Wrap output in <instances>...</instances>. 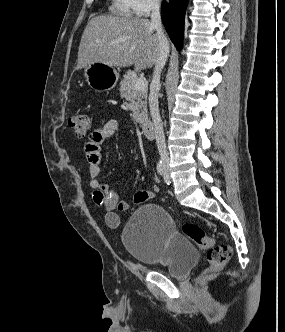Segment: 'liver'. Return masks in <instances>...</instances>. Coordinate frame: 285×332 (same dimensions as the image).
<instances>
[{
	"label": "liver",
	"mask_w": 285,
	"mask_h": 332,
	"mask_svg": "<svg viewBox=\"0 0 285 332\" xmlns=\"http://www.w3.org/2000/svg\"><path fill=\"white\" fill-rule=\"evenodd\" d=\"M154 30L146 18L93 17L81 37L76 69L96 62L111 67L149 68L159 54Z\"/></svg>",
	"instance_id": "6515ba94"
}]
</instances>
